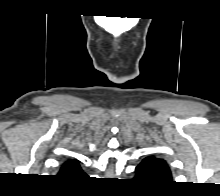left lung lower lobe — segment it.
<instances>
[{
    "mask_svg": "<svg viewBox=\"0 0 220 196\" xmlns=\"http://www.w3.org/2000/svg\"><path fill=\"white\" fill-rule=\"evenodd\" d=\"M135 179L148 184H162L164 182L156 171L146 162L142 161L135 169Z\"/></svg>",
    "mask_w": 220,
    "mask_h": 196,
    "instance_id": "left-lung-lower-lobe-1",
    "label": "left lung lower lobe"
}]
</instances>
